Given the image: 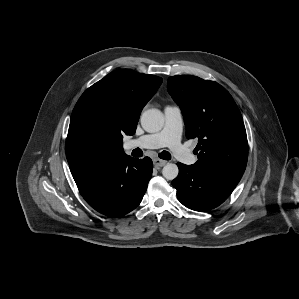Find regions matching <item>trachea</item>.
Listing matches in <instances>:
<instances>
[{
  "label": "trachea",
  "instance_id": "1",
  "mask_svg": "<svg viewBox=\"0 0 299 299\" xmlns=\"http://www.w3.org/2000/svg\"><path fill=\"white\" fill-rule=\"evenodd\" d=\"M142 156V151L138 149V157ZM159 157L164 160H170L171 159V154L167 151H162L159 153Z\"/></svg>",
  "mask_w": 299,
  "mask_h": 299
}]
</instances>
